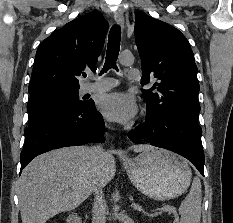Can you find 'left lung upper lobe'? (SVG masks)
<instances>
[{
	"mask_svg": "<svg viewBox=\"0 0 233 223\" xmlns=\"http://www.w3.org/2000/svg\"><path fill=\"white\" fill-rule=\"evenodd\" d=\"M134 33L141 57V83L156 79L150 89L142 90L147 102L146 118L188 116L198 119L197 67L185 36L167 23L142 14L136 16Z\"/></svg>",
	"mask_w": 233,
	"mask_h": 223,
	"instance_id": "5c2ea615",
	"label": "left lung upper lobe"
}]
</instances>
